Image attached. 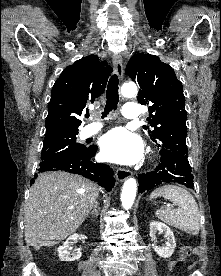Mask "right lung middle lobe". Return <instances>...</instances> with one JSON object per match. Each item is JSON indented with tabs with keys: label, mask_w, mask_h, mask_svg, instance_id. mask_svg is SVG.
<instances>
[{
	"label": "right lung middle lobe",
	"mask_w": 221,
	"mask_h": 276,
	"mask_svg": "<svg viewBox=\"0 0 221 276\" xmlns=\"http://www.w3.org/2000/svg\"><path fill=\"white\" fill-rule=\"evenodd\" d=\"M77 134L78 132L45 134L41 160L86 152V146L76 143Z\"/></svg>",
	"instance_id": "dd1d6c3e"
}]
</instances>
